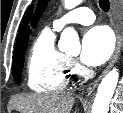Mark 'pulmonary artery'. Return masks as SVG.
Returning <instances> with one entry per match:
<instances>
[{"mask_svg":"<svg viewBox=\"0 0 123 113\" xmlns=\"http://www.w3.org/2000/svg\"><path fill=\"white\" fill-rule=\"evenodd\" d=\"M94 20L95 15L92 10L87 7H77L56 19L53 22V27L56 30H61L68 24L79 23L82 25H89L92 24Z\"/></svg>","mask_w":123,"mask_h":113,"instance_id":"e3ab8cb5","label":"pulmonary artery"}]
</instances>
